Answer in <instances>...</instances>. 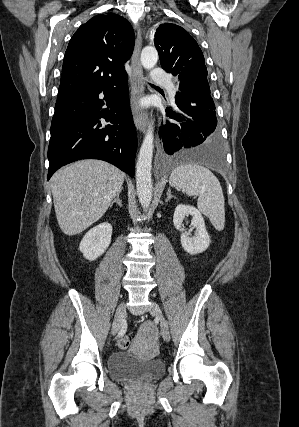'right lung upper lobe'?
<instances>
[{"mask_svg":"<svg viewBox=\"0 0 299 427\" xmlns=\"http://www.w3.org/2000/svg\"><path fill=\"white\" fill-rule=\"evenodd\" d=\"M130 23L110 13L91 18L72 36L67 47L58 100L119 80L134 49Z\"/></svg>","mask_w":299,"mask_h":427,"instance_id":"1","label":"right lung upper lobe"}]
</instances>
